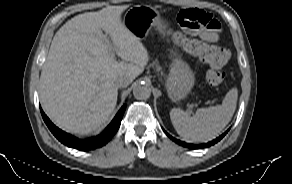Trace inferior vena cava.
Masks as SVG:
<instances>
[{
    "label": "inferior vena cava",
    "instance_id": "inferior-vena-cava-1",
    "mask_svg": "<svg viewBox=\"0 0 292 184\" xmlns=\"http://www.w3.org/2000/svg\"><path fill=\"white\" fill-rule=\"evenodd\" d=\"M131 83V80L127 77H120L116 81V86L118 88H124L127 87Z\"/></svg>",
    "mask_w": 292,
    "mask_h": 184
}]
</instances>
